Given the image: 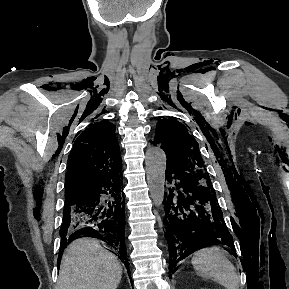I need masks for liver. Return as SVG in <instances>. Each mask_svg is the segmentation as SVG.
Instances as JSON below:
<instances>
[{"mask_svg": "<svg viewBox=\"0 0 289 289\" xmlns=\"http://www.w3.org/2000/svg\"><path fill=\"white\" fill-rule=\"evenodd\" d=\"M122 277L117 257L92 238L73 241L65 250L57 289H116Z\"/></svg>", "mask_w": 289, "mask_h": 289, "instance_id": "liver-1", "label": "liver"}]
</instances>
